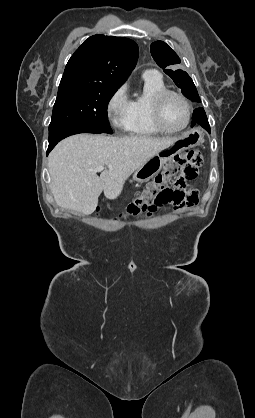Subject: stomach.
Returning <instances> with one entry per match:
<instances>
[{
  "mask_svg": "<svg viewBox=\"0 0 255 418\" xmlns=\"http://www.w3.org/2000/svg\"><path fill=\"white\" fill-rule=\"evenodd\" d=\"M203 140V134L199 129H192L185 132L171 147L157 153L146 161L133 174V180L144 183L157 175L166 161L184 150L197 146Z\"/></svg>",
  "mask_w": 255,
  "mask_h": 418,
  "instance_id": "obj_1",
  "label": "stomach"
}]
</instances>
